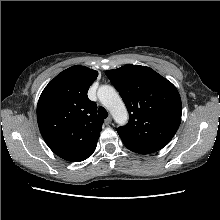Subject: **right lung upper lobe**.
I'll list each match as a JSON object with an SVG mask.
<instances>
[{"instance_id": "1", "label": "right lung upper lobe", "mask_w": 220, "mask_h": 220, "mask_svg": "<svg viewBox=\"0 0 220 220\" xmlns=\"http://www.w3.org/2000/svg\"><path fill=\"white\" fill-rule=\"evenodd\" d=\"M97 76L95 70L72 66L51 80L40 95V133L49 148L67 161H83L95 151L103 120L87 92Z\"/></svg>"}]
</instances>
